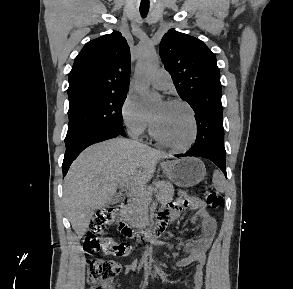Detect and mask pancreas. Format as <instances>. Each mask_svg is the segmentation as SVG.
I'll return each mask as SVG.
<instances>
[{
  "label": "pancreas",
  "instance_id": "1",
  "mask_svg": "<svg viewBox=\"0 0 293 289\" xmlns=\"http://www.w3.org/2000/svg\"><path fill=\"white\" fill-rule=\"evenodd\" d=\"M156 188L158 189V196L160 200L167 201L172 199L174 195V188L170 182H158ZM154 190L149 187L143 193L133 194L129 204L124 210L127 221L136 228H143L149 222L148 206L151 202V194Z\"/></svg>",
  "mask_w": 293,
  "mask_h": 289
}]
</instances>
